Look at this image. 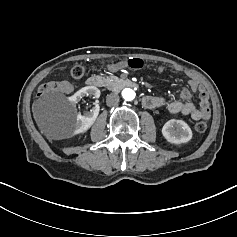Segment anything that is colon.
Masks as SVG:
<instances>
[{"label": "colon", "instance_id": "obj_1", "mask_svg": "<svg viewBox=\"0 0 237 237\" xmlns=\"http://www.w3.org/2000/svg\"><path fill=\"white\" fill-rule=\"evenodd\" d=\"M126 65L133 70H139L143 67L144 64H143V60H141L139 58H132L126 62ZM84 72H85V69L80 64L73 66L71 69V74L75 78L82 77ZM51 90H52L51 83L43 84L39 87L38 95L39 96L44 95V94L50 92ZM195 128L198 133H205L207 131L208 125L205 121H200L196 124Z\"/></svg>", "mask_w": 237, "mask_h": 237}]
</instances>
